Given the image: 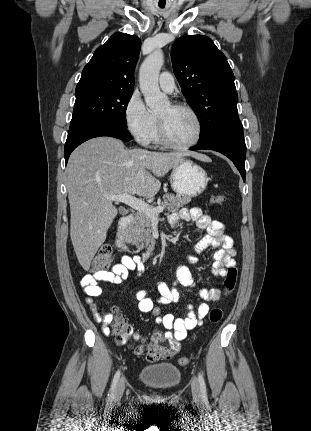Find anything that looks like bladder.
Wrapping results in <instances>:
<instances>
[{"label": "bladder", "mask_w": 311, "mask_h": 431, "mask_svg": "<svg viewBox=\"0 0 311 431\" xmlns=\"http://www.w3.org/2000/svg\"><path fill=\"white\" fill-rule=\"evenodd\" d=\"M139 379L151 388L170 390L179 384L181 372L171 363L149 364L140 370Z\"/></svg>", "instance_id": "bladder-1"}]
</instances>
